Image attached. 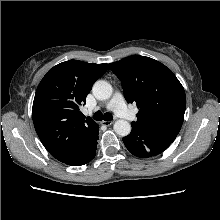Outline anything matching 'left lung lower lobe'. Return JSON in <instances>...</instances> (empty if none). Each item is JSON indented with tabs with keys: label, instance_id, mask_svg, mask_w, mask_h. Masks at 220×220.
<instances>
[{
	"label": "left lung lower lobe",
	"instance_id": "left-lung-lower-lobe-1",
	"mask_svg": "<svg viewBox=\"0 0 220 220\" xmlns=\"http://www.w3.org/2000/svg\"><path fill=\"white\" fill-rule=\"evenodd\" d=\"M122 140L129 152L140 158L158 155L171 144L157 141L151 137L150 131L137 127H132L131 133Z\"/></svg>",
	"mask_w": 220,
	"mask_h": 220
}]
</instances>
